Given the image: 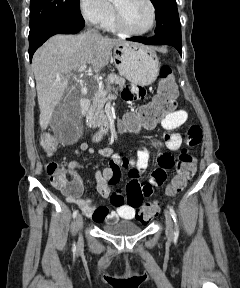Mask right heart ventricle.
Instances as JSON below:
<instances>
[{"label":"right heart ventricle","instance_id":"right-heart-ventricle-1","mask_svg":"<svg viewBox=\"0 0 240 288\" xmlns=\"http://www.w3.org/2000/svg\"><path fill=\"white\" fill-rule=\"evenodd\" d=\"M104 26L110 31H114V32L120 31V29L117 27L114 17H112L106 24H104Z\"/></svg>","mask_w":240,"mask_h":288}]
</instances>
